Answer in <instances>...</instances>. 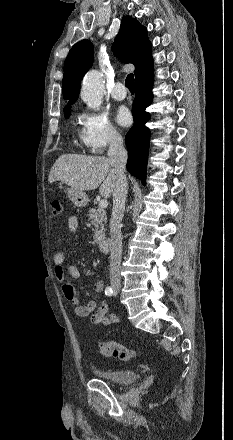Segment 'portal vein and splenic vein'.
Segmentation results:
<instances>
[{
    "mask_svg": "<svg viewBox=\"0 0 233 440\" xmlns=\"http://www.w3.org/2000/svg\"><path fill=\"white\" fill-rule=\"evenodd\" d=\"M108 206V201L106 199H103L99 202V207L100 208H106Z\"/></svg>",
    "mask_w": 233,
    "mask_h": 440,
    "instance_id": "obj_1",
    "label": "portal vein and splenic vein"
}]
</instances>
